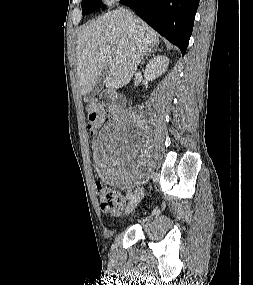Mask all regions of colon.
Masks as SVG:
<instances>
[{
    "mask_svg": "<svg viewBox=\"0 0 253 285\" xmlns=\"http://www.w3.org/2000/svg\"><path fill=\"white\" fill-rule=\"evenodd\" d=\"M103 118L101 105L98 102L89 104L87 115L88 137H92V141H100V136H96V130L100 126ZM90 165L96 164V159L92 158L89 161ZM96 192L99 197L101 209L111 215H117L124 205L123 198L118 192L106 187L101 182H96Z\"/></svg>",
    "mask_w": 253,
    "mask_h": 285,
    "instance_id": "5ec220e1",
    "label": "colon"
}]
</instances>
